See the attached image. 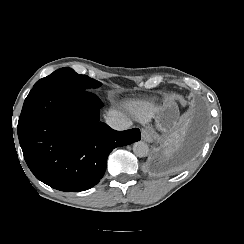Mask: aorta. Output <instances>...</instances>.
Returning a JSON list of instances; mask_svg holds the SVG:
<instances>
[{
	"mask_svg": "<svg viewBox=\"0 0 244 244\" xmlns=\"http://www.w3.org/2000/svg\"><path fill=\"white\" fill-rule=\"evenodd\" d=\"M133 152L137 157H146L149 153V147L145 142L138 141L133 145Z\"/></svg>",
	"mask_w": 244,
	"mask_h": 244,
	"instance_id": "1",
	"label": "aorta"
}]
</instances>
